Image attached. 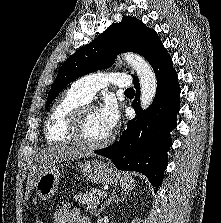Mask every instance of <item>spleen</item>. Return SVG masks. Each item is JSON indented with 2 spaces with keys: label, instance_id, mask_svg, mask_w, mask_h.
Wrapping results in <instances>:
<instances>
[{
  "label": "spleen",
  "instance_id": "obj_1",
  "mask_svg": "<svg viewBox=\"0 0 221 223\" xmlns=\"http://www.w3.org/2000/svg\"><path fill=\"white\" fill-rule=\"evenodd\" d=\"M120 183L124 190H131L134 187V180L128 173L123 174V177L120 178Z\"/></svg>",
  "mask_w": 221,
  "mask_h": 223
}]
</instances>
